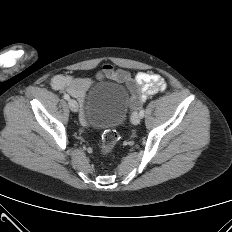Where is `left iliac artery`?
<instances>
[{"label": "left iliac artery", "instance_id": "left-iliac-artery-1", "mask_svg": "<svg viewBox=\"0 0 232 232\" xmlns=\"http://www.w3.org/2000/svg\"><path fill=\"white\" fill-rule=\"evenodd\" d=\"M140 116L143 118L144 117V114H145V111H144V109L142 108L141 110H140Z\"/></svg>", "mask_w": 232, "mask_h": 232}]
</instances>
